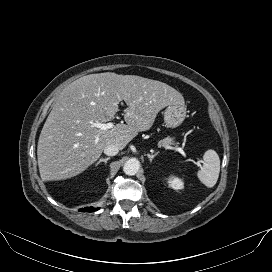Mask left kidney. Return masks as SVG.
Returning a JSON list of instances; mask_svg holds the SVG:
<instances>
[{"instance_id":"5707ae66","label":"left kidney","mask_w":272,"mask_h":272,"mask_svg":"<svg viewBox=\"0 0 272 272\" xmlns=\"http://www.w3.org/2000/svg\"><path fill=\"white\" fill-rule=\"evenodd\" d=\"M168 185L175 190H179L184 187L183 181L177 177H170L168 179Z\"/></svg>"}]
</instances>
